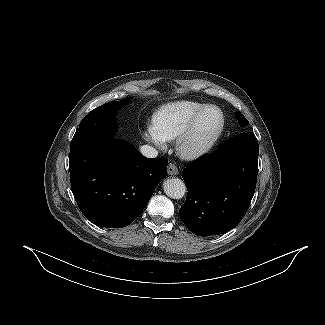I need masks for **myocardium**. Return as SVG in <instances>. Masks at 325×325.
I'll use <instances>...</instances> for the list:
<instances>
[{"label":"myocardium","mask_w":325,"mask_h":325,"mask_svg":"<svg viewBox=\"0 0 325 325\" xmlns=\"http://www.w3.org/2000/svg\"><path fill=\"white\" fill-rule=\"evenodd\" d=\"M214 109L220 115V123L215 129L213 134L203 143H195L194 135L197 126L204 115V113L209 110ZM225 126V116L223 111L215 105H206L201 108L188 123L186 128L178 136L176 141V150L179 155L187 160L197 159L205 154H207L215 145L219 137L221 136Z\"/></svg>","instance_id":"f54148a6"}]
</instances>
